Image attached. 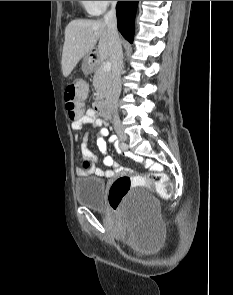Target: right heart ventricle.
Returning <instances> with one entry per match:
<instances>
[{"label":"right heart ventricle","mask_w":233,"mask_h":295,"mask_svg":"<svg viewBox=\"0 0 233 295\" xmlns=\"http://www.w3.org/2000/svg\"><path fill=\"white\" fill-rule=\"evenodd\" d=\"M81 6L89 12V9H88V2L87 1H79Z\"/></svg>","instance_id":"1"}]
</instances>
